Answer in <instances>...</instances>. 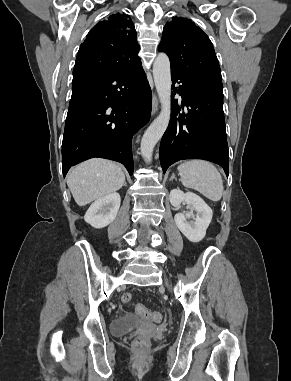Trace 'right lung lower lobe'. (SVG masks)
Wrapping results in <instances>:
<instances>
[{
  "instance_id": "obj_1",
  "label": "right lung lower lobe",
  "mask_w": 291,
  "mask_h": 381,
  "mask_svg": "<svg viewBox=\"0 0 291 381\" xmlns=\"http://www.w3.org/2000/svg\"><path fill=\"white\" fill-rule=\"evenodd\" d=\"M152 93L140 58L111 71L74 69L62 170L93 157L133 173L132 137L150 118Z\"/></svg>"
}]
</instances>
